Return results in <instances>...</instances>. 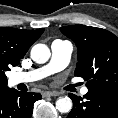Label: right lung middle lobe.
<instances>
[{"label": "right lung middle lobe", "instance_id": "obj_1", "mask_svg": "<svg viewBox=\"0 0 118 118\" xmlns=\"http://www.w3.org/2000/svg\"><path fill=\"white\" fill-rule=\"evenodd\" d=\"M11 66H17V64H14L10 62L5 56L0 55V80L1 81H7L5 72L10 70Z\"/></svg>", "mask_w": 118, "mask_h": 118}]
</instances>
